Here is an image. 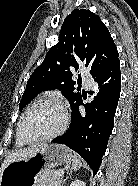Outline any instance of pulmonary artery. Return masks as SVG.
<instances>
[{"instance_id":"obj_1","label":"pulmonary artery","mask_w":138,"mask_h":186,"mask_svg":"<svg viewBox=\"0 0 138 186\" xmlns=\"http://www.w3.org/2000/svg\"><path fill=\"white\" fill-rule=\"evenodd\" d=\"M81 78H82V81L84 83V85L87 87V88H90L91 85H92V77L90 76L89 72L88 71H85V70H82L81 71Z\"/></svg>"}]
</instances>
